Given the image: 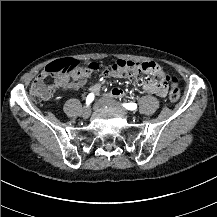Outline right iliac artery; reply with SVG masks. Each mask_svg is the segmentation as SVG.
Wrapping results in <instances>:
<instances>
[{
	"label": "right iliac artery",
	"mask_w": 217,
	"mask_h": 217,
	"mask_svg": "<svg viewBox=\"0 0 217 217\" xmlns=\"http://www.w3.org/2000/svg\"><path fill=\"white\" fill-rule=\"evenodd\" d=\"M93 100H94V94L90 93L86 98V104L90 105V103H92Z\"/></svg>",
	"instance_id": "1"
}]
</instances>
